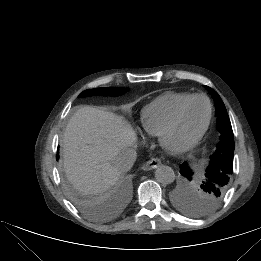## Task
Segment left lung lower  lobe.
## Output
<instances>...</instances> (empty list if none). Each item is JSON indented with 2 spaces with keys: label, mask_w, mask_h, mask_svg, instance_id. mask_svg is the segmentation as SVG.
Returning <instances> with one entry per match:
<instances>
[{
  "label": "left lung lower lobe",
  "mask_w": 261,
  "mask_h": 261,
  "mask_svg": "<svg viewBox=\"0 0 261 261\" xmlns=\"http://www.w3.org/2000/svg\"><path fill=\"white\" fill-rule=\"evenodd\" d=\"M207 172V170H206ZM180 174L183 175L185 178H192V172L190 171L189 167L187 166L186 163H183L181 166H180Z\"/></svg>",
  "instance_id": "1"
}]
</instances>
